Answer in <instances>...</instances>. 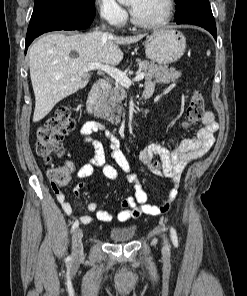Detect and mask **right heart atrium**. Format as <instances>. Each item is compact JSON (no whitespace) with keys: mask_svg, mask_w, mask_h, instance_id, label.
I'll use <instances>...</instances> for the list:
<instances>
[{"mask_svg":"<svg viewBox=\"0 0 247 296\" xmlns=\"http://www.w3.org/2000/svg\"><path fill=\"white\" fill-rule=\"evenodd\" d=\"M99 16L113 26H121L127 18L126 11L117 0H95Z\"/></svg>","mask_w":247,"mask_h":296,"instance_id":"1","label":"right heart atrium"}]
</instances>
